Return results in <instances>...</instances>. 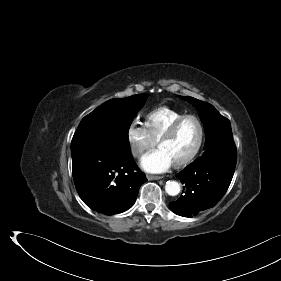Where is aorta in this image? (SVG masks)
Segmentation results:
<instances>
[{"instance_id":"aorta-1","label":"aorta","mask_w":281,"mask_h":281,"mask_svg":"<svg viewBox=\"0 0 281 281\" xmlns=\"http://www.w3.org/2000/svg\"><path fill=\"white\" fill-rule=\"evenodd\" d=\"M165 191L170 196H176L180 192V185L176 181H167L165 185Z\"/></svg>"}]
</instances>
